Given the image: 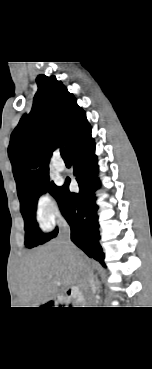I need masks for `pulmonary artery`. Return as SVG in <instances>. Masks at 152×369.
Masks as SVG:
<instances>
[{
    "instance_id": "obj_1",
    "label": "pulmonary artery",
    "mask_w": 152,
    "mask_h": 369,
    "mask_svg": "<svg viewBox=\"0 0 152 369\" xmlns=\"http://www.w3.org/2000/svg\"><path fill=\"white\" fill-rule=\"evenodd\" d=\"M53 166L57 171H63L65 169V163L58 156L55 157Z\"/></svg>"
}]
</instances>
